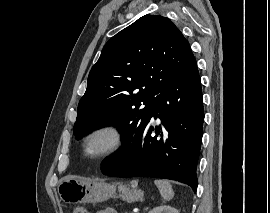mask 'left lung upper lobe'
Masks as SVG:
<instances>
[{
	"label": "left lung upper lobe",
	"mask_w": 270,
	"mask_h": 213,
	"mask_svg": "<svg viewBox=\"0 0 270 213\" xmlns=\"http://www.w3.org/2000/svg\"><path fill=\"white\" fill-rule=\"evenodd\" d=\"M196 60L170 19L145 15L113 36L92 67L74 125L77 139L115 125L122 140L149 121L157 97ZM145 105V107H143Z\"/></svg>",
	"instance_id": "1"
}]
</instances>
